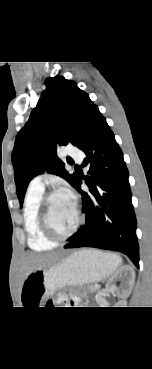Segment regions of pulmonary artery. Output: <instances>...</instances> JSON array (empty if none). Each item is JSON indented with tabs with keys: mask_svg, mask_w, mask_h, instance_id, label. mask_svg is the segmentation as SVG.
I'll return each mask as SVG.
<instances>
[{
	"mask_svg": "<svg viewBox=\"0 0 152 369\" xmlns=\"http://www.w3.org/2000/svg\"><path fill=\"white\" fill-rule=\"evenodd\" d=\"M64 152L66 155L73 157L77 161L79 162L82 161V153L77 148L72 147V146H67L65 147ZM29 188L35 189V190H43L44 189L43 175L39 174V175L34 176L29 183Z\"/></svg>",
	"mask_w": 152,
	"mask_h": 369,
	"instance_id": "obj_1",
	"label": "pulmonary artery"
}]
</instances>
